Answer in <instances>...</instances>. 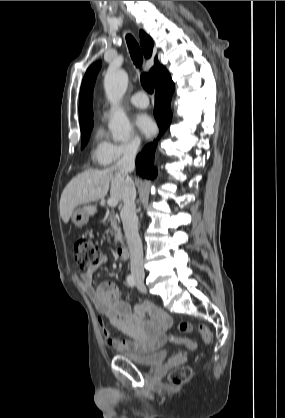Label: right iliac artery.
<instances>
[{"label": "right iliac artery", "mask_w": 285, "mask_h": 418, "mask_svg": "<svg viewBox=\"0 0 285 418\" xmlns=\"http://www.w3.org/2000/svg\"><path fill=\"white\" fill-rule=\"evenodd\" d=\"M127 284H128L129 286H131V287H134V285H135V280H134V278H133V276H132V275H128V276H127Z\"/></svg>", "instance_id": "1"}]
</instances>
